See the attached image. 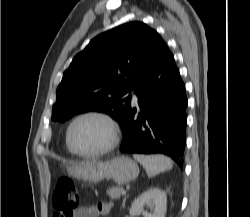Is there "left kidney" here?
Listing matches in <instances>:
<instances>
[{"label": "left kidney", "instance_id": "1", "mask_svg": "<svg viewBox=\"0 0 250 217\" xmlns=\"http://www.w3.org/2000/svg\"><path fill=\"white\" fill-rule=\"evenodd\" d=\"M145 206L150 208L151 212H146L144 210ZM166 210V193L159 188H149L132 202L129 214L131 217L140 214L143 217H165Z\"/></svg>", "mask_w": 250, "mask_h": 217}]
</instances>
